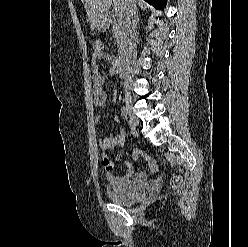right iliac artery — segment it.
Segmentation results:
<instances>
[{
    "label": "right iliac artery",
    "mask_w": 248,
    "mask_h": 247,
    "mask_svg": "<svg viewBox=\"0 0 248 247\" xmlns=\"http://www.w3.org/2000/svg\"><path fill=\"white\" fill-rule=\"evenodd\" d=\"M121 114H122V116L124 117V119H125L128 123L131 122L130 114H129V111H128L127 107H125V106H122V107H121Z\"/></svg>",
    "instance_id": "1"
}]
</instances>
